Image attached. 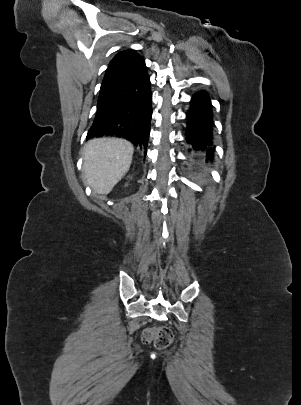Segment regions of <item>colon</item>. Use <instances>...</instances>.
I'll list each match as a JSON object with an SVG mask.
<instances>
[{
    "label": "colon",
    "instance_id": "1",
    "mask_svg": "<svg viewBox=\"0 0 301 405\" xmlns=\"http://www.w3.org/2000/svg\"><path fill=\"white\" fill-rule=\"evenodd\" d=\"M142 341L152 343L157 349H165L173 342V333L168 327L148 328L142 334Z\"/></svg>",
    "mask_w": 301,
    "mask_h": 405
}]
</instances>
